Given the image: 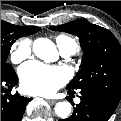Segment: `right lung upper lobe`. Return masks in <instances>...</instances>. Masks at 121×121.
Instances as JSON below:
<instances>
[{
  "mask_svg": "<svg viewBox=\"0 0 121 121\" xmlns=\"http://www.w3.org/2000/svg\"><path fill=\"white\" fill-rule=\"evenodd\" d=\"M29 29L31 31V34L36 33V32H38L40 30L39 27H29Z\"/></svg>",
  "mask_w": 121,
  "mask_h": 121,
  "instance_id": "right-lung-upper-lobe-1",
  "label": "right lung upper lobe"
}]
</instances>
